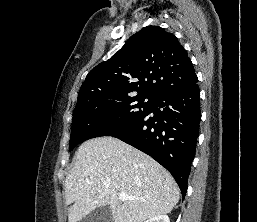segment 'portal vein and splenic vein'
<instances>
[{
	"label": "portal vein and splenic vein",
	"instance_id": "portal-vein-and-splenic-vein-1",
	"mask_svg": "<svg viewBox=\"0 0 257 222\" xmlns=\"http://www.w3.org/2000/svg\"><path fill=\"white\" fill-rule=\"evenodd\" d=\"M119 199L120 200H133V199H138L136 196H128L124 192L119 193Z\"/></svg>",
	"mask_w": 257,
	"mask_h": 222
}]
</instances>
